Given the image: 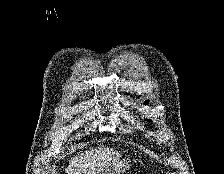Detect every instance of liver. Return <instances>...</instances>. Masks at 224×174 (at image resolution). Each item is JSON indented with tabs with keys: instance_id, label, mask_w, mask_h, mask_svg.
Masks as SVG:
<instances>
[{
	"instance_id": "6515ba94",
	"label": "liver",
	"mask_w": 224,
	"mask_h": 174,
	"mask_svg": "<svg viewBox=\"0 0 224 174\" xmlns=\"http://www.w3.org/2000/svg\"><path fill=\"white\" fill-rule=\"evenodd\" d=\"M121 153L99 146L73 157L65 169L67 174H99L118 163Z\"/></svg>"
}]
</instances>
